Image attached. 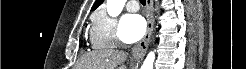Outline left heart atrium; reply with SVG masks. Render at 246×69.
<instances>
[{"label":"left heart atrium","mask_w":246,"mask_h":69,"mask_svg":"<svg viewBox=\"0 0 246 69\" xmlns=\"http://www.w3.org/2000/svg\"><path fill=\"white\" fill-rule=\"evenodd\" d=\"M145 32V20L138 14H126L122 17L119 36L123 43L131 44L140 40Z\"/></svg>","instance_id":"39dd6f15"}]
</instances>
